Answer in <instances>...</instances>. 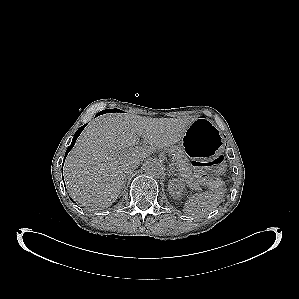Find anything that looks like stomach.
<instances>
[{
  "instance_id": "stomach-1",
  "label": "stomach",
  "mask_w": 299,
  "mask_h": 299,
  "mask_svg": "<svg viewBox=\"0 0 299 299\" xmlns=\"http://www.w3.org/2000/svg\"><path fill=\"white\" fill-rule=\"evenodd\" d=\"M187 155L195 161H206L222 149V137L214 123L196 118L182 138Z\"/></svg>"
}]
</instances>
